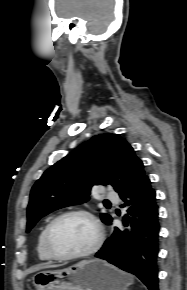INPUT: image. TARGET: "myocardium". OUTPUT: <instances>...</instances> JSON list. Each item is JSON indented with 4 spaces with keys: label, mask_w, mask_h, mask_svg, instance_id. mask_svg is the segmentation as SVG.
<instances>
[{
    "label": "myocardium",
    "mask_w": 187,
    "mask_h": 290,
    "mask_svg": "<svg viewBox=\"0 0 187 290\" xmlns=\"http://www.w3.org/2000/svg\"><path fill=\"white\" fill-rule=\"evenodd\" d=\"M73 215L83 216L90 221V223L92 224L94 231H95L94 243L92 244V246L89 249H87L86 251L80 252V253H74V254L58 253L54 249L53 244H52L53 229H54L55 225L60 220L66 218L68 216H73ZM102 242H103V231H102V227H101L98 219L96 218V216L92 212H90L86 209H80V208L70 209V210L64 211V212L60 213L59 215H57L56 217H54L47 225V227L45 229V233H44L45 248H46L48 254L53 259H56V260H75V259H83V258L90 257L100 249Z\"/></svg>",
    "instance_id": "1"
}]
</instances>
